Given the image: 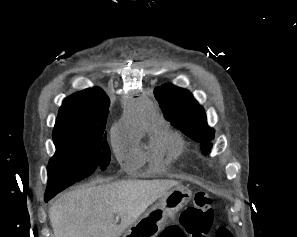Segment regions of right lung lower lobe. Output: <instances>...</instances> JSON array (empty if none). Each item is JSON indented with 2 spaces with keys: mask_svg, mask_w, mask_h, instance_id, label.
<instances>
[{
  "mask_svg": "<svg viewBox=\"0 0 297 237\" xmlns=\"http://www.w3.org/2000/svg\"><path fill=\"white\" fill-rule=\"evenodd\" d=\"M52 197L51 196H45L44 200L45 202L49 201Z\"/></svg>",
  "mask_w": 297,
  "mask_h": 237,
  "instance_id": "1",
  "label": "right lung lower lobe"
}]
</instances>
